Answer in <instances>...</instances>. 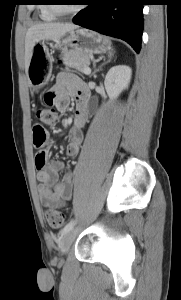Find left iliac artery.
Wrapping results in <instances>:
<instances>
[{
	"instance_id": "1",
	"label": "left iliac artery",
	"mask_w": 181,
	"mask_h": 300,
	"mask_svg": "<svg viewBox=\"0 0 181 300\" xmlns=\"http://www.w3.org/2000/svg\"><path fill=\"white\" fill-rule=\"evenodd\" d=\"M76 224L75 220H71L69 223L66 224V226L61 230V234L64 235L66 234L68 231H70L74 225Z\"/></svg>"
}]
</instances>
